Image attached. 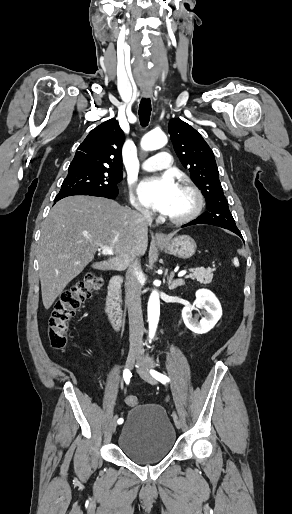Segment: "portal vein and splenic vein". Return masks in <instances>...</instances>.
Wrapping results in <instances>:
<instances>
[{
    "label": "portal vein and splenic vein",
    "instance_id": "1",
    "mask_svg": "<svg viewBox=\"0 0 292 514\" xmlns=\"http://www.w3.org/2000/svg\"><path fill=\"white\" fill-rule=\"evenodd\" d=\"M102 250V254H109V256H114L112 248H108V246H100ZM186 272H179L178 276H185Z\"/></svg>",
    "mask_w": 292,
    "mask_h": 514
}]
</instances>
